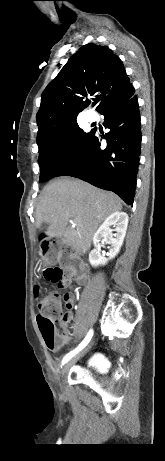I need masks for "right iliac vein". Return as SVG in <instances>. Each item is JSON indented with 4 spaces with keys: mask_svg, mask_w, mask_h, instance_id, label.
<instances>
[{
    "mask_svg": "<svg viewBox=\"0 0 165 461\" xmlns=\"http://www.w3.org/2000/svg\"><path fill=\"white\" fill-rule=\"evenodd\" d=\"M92 345H93V342H91L84 350H82L80 353L75 355L71 360H69L64 365L63 370H62L63 375L66 374L69 371V369L91 349Z\"/></svg>",
    "mask_w": 165,
    "mask_h": 461,
    "instance_id": "obj_1",
    "label": "right iliac vein"
}]
</instances>
